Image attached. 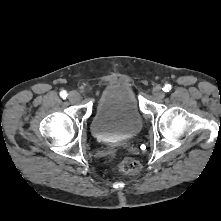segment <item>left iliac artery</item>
<instances>
[{
    "instance_id": "obj_1",
    "label": "left iliac artery",
    "mask_w": 221,
    "mask_h": 221,
    "mask_svg": "<svg viewBox=\"0 0 221 221\" xmlns=\"http://www.w3.org/2000/svg\"><path fill=\"white\" fill-rule=\"evenodd\" d=\"M171 88H172L171 85L167 84V85L164 86L163 91L164 92H169L171 90Z\"/></svg>"
}]
</instances>
